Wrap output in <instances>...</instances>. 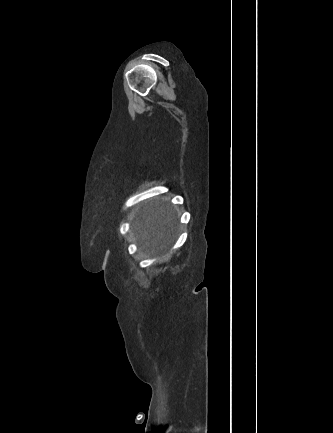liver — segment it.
<instances>
[{"instance_id":"1","label":"liver","mask_w":333,"mask_h":433,"mask_svg":"<svg viewBox=\"0 0 333 433\" xmlns=\"http://www.w3.org/2000/svg\"><path fill=\"white\" fill-rule=\"evenodd\" d=\"M177 226L175 209L159 199L142 204L133 222L140 249L152 255L167 251Z\"/></svg>"}]
</instances>
